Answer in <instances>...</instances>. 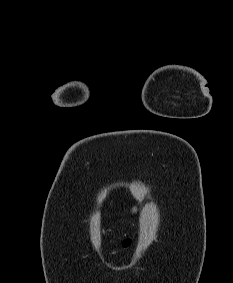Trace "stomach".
<instances>
[{
  "mask_svg": "<svg viewBox=\"0 0 233 283\" xmlns=\"http://www.w3.org/2000/svg\"><path fill=\"white\" fill-rule=\"evenodd\" d=\"M136 212H137V207L135 206L132 208V213H136Z\"/></svg>",
  "mask_w": 233,
  "mask_h": 283,
  "instance_id": "1",
  "label": "stomach"
}]
</instances>
